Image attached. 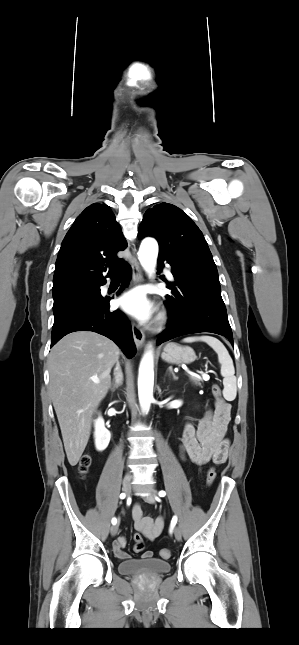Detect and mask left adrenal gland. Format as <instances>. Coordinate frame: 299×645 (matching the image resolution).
<instances>
[{"mask_svg": "<svg viewBox=\"0 0 299 645\" xmlns=\"http://www.w3.org/2000/svg\"><path fill=\"white\" fill-rule=\"evenodd\" d=\"M168 370H169L170 374L172 375L173 379H174V380H177V377H176V375L174 374L172 367H169V368H168Z\"/></svg>", "mask_w": 299, "mask_h": 645, "instance_id": "1", "label": "left adrenal gland"}]
</instances>
